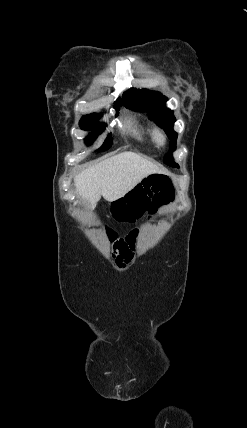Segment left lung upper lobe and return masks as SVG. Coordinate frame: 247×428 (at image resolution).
Here are the masks:
<instances>
[{
  "mask_svg": "<svg viewBox=\"0 0 247 428\" xmlns=\"http://www.w3.org/2000/svg\"><path fill=\"white\" fill-rule=\"evenodd\" d=\"M167 97L161 93L149 90L129 89L124 94V105L135 111H147L151 120H154L164 129L170 139V153L165 156L164 162L178 167L172 158L171 152L176 149L177 133L173 130L176 121L173 111L166 108Z\"/></svg>",
  "mask_w": 247,
  "mask_h": 428,
  "instance_id": "left-lung-upper-lobe-1",
  "label": "left lung upper lobe"
}]
</instances>
